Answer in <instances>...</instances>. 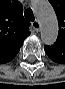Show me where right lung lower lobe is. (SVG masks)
<instances>
[{
	"label": "right lung lower lobe",
	"instance_id": "1",
	"mask_svg": "<svg viewBox=\"0 0 65 89\" xmlns=\"http://www.w3.org/2000/svg\"><path fill=\"white\" fill-rule=\"evenodd\" d=\"M17 53L13 54L12 56L8 57L7 59H3L2 57H0V64H4V63L11 61L17 55Z\"/></svg>",
	"mask_w": 65,
	"mask_h": 89
}]
</instances>
